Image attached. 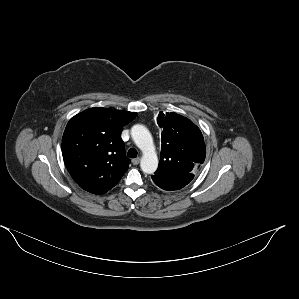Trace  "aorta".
Segmentation results:
<instances>
[{"label":"aorta","instance_id":"762f6f07","mask_svg":"<svg viewBox=\"0 0 299 299\" xmlns=\"http://www.w3.org/2000/svg\"><path fill=\"white\" fill-rule=\"evenodd\" d=\"M131 136L136 146L142 151L140 167L144 173L153 174L158 167V157L153 139L148 129L140 124L131 128Z\"/></svg>","mask_w":299,"mask_h":299}]
</instances>
